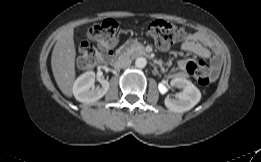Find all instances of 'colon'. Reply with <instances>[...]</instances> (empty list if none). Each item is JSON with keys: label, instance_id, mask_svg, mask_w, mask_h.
<instances>
[{"label": "colon", "instance_id": "colon-1", "mask_svg": "<svg viewBox=\"0 0 261 162\" xmlns=\"http://www.w3.org/2000/svg\"><path fill=\"white\" fill-rule=\"evenodd\" d=\"M117 30L118 23L114 19H106L91 26L88 30V38L91 42H86L81 47V64L85 67H93L101 59L100 51L114 46ZM149 33L161 48L172 46L183 37V30L179 26L163 20L152 22ZM189 69L200 85L206 86L212 81V75L207 72L205 64L191 63Z\"/></svg>", "mask_w": 261, "mask_h": 162}]
</instances>
